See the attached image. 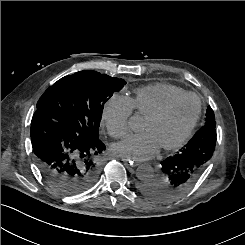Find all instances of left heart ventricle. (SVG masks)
Returning a JSON list of instances; mask_svg holds the SVG:
<instances>
[{"mask_svg":"<svg viewBox=\"0 0 245 245\" xmlns=\"http://www.w3.org/2000/svg\"><path fill=\"white\" fill-rule=\"evenodd\" d=\"M198 103L188 97L175 104L162 118L143 122V130L152 134L160 147L176 142L192 123Z\"/></svg>","mask_w":245,"mask_h":245,"instance_id":"1","label":"left heart ventricle"}]
</instances>
